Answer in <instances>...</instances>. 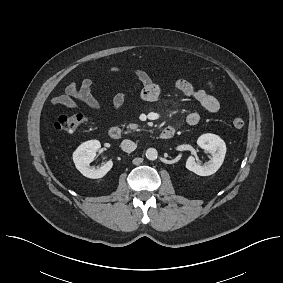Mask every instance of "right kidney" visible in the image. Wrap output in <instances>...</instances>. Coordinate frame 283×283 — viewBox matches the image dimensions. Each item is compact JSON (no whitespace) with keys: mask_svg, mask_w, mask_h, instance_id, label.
<instances>
[{"mask_svg":"<svg viewBox=\"0 0 283 283\" xmlns=\"http://www.w3.org/2000/svg\"><path fill=\"white\" fill-rule=\"evenodd\" d=\"M101 147L98 140H90L82 143L73 153V161L76 168L82 175L92 179L104 177L112 168L113 162L109 160L98 169L89 167V164L94 160L97 150Z\"/></svg>","mask_w":283,"mask_h":283,"instance_id":"obj_1","label":"right kidney"}]
</instances>
